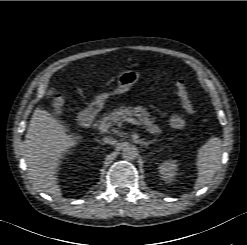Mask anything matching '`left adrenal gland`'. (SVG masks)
Masks as SVG:
<instances>
[{
  "label": "left adrenal gland",
  "mask_w": 247,
  "mask_h": 245,
  "mask_svg": "<svg viewBox=\"0 0 247 245\" xmlns=\"http://www.w3.org/2000/svg\"><path fill=\"white\" fill-rule=\"evenodd\" d=\"M154 143V140H151V141H143V144L145 145L146 148H148V146L150 144Z\"/></svg>",
  "instance_id": "left-adrenal-gland-1"
}]
</instances>
